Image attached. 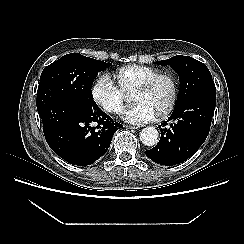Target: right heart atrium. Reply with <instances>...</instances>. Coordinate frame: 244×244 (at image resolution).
<instances>
[{
  "mask_svg": "<svg viewBox=\"0 0 244 244\" xmlns=\"http://www.w3.org/2000/svg\"><path fill=\"white\" fill-rule=\"evenodd\" d=\"M94 102L105 112L116 114L123 108L124 95L107 75L97 78L91 88Z\"/></svg>",
  "mask_w": 244,
  "mask_h": 244,
  "instance_id": "1",
  "label": "right heart atrium"
}]
</instances>
